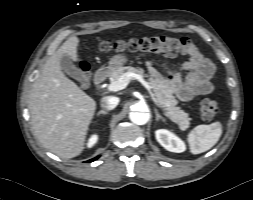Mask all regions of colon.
Segmentation results:
<instances>
[{"instance_id": "1", "label": "colon", "mask_w": 253, "mask_h": 200, "mask_svg": "<svg viewBox=\"0 0 253 200\" xmlns=\"http://www.w3.org/2000/svg\"><path fill=\"white\" fill-rule=\"evenodd\" d=\"M102 51H141L146 53H154L166 57H174L178 55H190L193 44L187 38H176L169 36H155L142 39H131L128 41H103L100 45ZM85 74L88 68L81 65ZM218 112V105L210 99H203L200 104V116L204 121H211Z\"/></svg>"}]
</instances>
